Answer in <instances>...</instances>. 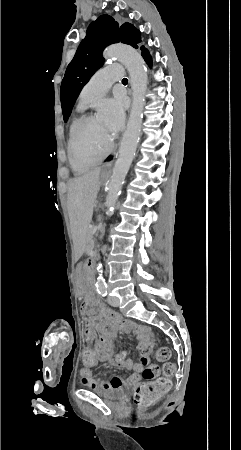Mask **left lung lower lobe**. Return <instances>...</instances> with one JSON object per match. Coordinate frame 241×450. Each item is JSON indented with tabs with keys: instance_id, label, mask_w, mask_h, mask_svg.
<instances>
[{
	"instance_id": "left-lung-lower-lobe-1",
	"label": "left lung lower lobe",
	"mask_w": 241,
	"mask_h": 450,
	"mask_svg": "<svg viewBox=\"0 0 241 450\" xmlns=\"http://www.w3.org/2000/svg\"><path fill=\"white\" fill-rule=\"evenodd\" d=\"M142 56H143L144 60L147 62V64L149 66H151L152 65V58H151V56H150V54H149V52H148V50L146 48L142 50ZM111 159L112 158L109 157L107 160H111Z\"/></svg>"
}]
</instances>
